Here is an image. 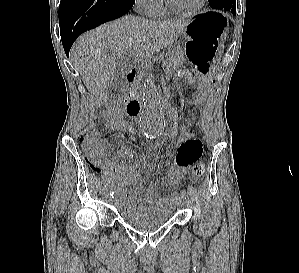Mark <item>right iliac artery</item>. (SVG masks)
Wrapping results in <instances>:
<instances>
[{"instance_id": "82829eb1", "label": "right iliac artery", "mask_w": 299, "mask_h": 273, "mask_svg": "<svg viewBox=\"0 0 299 273\" xmlns=\"http://www.w3.org/2000/svg\"><path fill=\"white\" fill-rule=\"evenodd\" d=\"M111 195H112V197H113V196H114V192H112V194H111Z\"/></svg>"}]
</instances>
